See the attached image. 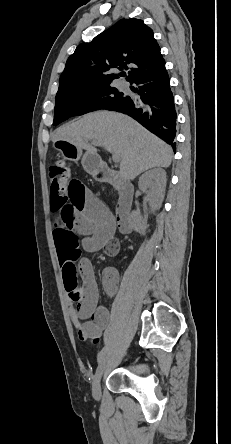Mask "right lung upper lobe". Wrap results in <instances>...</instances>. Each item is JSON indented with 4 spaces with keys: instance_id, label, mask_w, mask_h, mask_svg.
Returning a JSON list of instances; mask_svg holds the SVG:
<instances>
[{
    "instance_id": "cb5924a9",
    "label": "right lung upper lobe",
    "mask_w": 231,
    "mask_h": 444,
    "mask_svg": "<svg viewBox=\"0 0 231 444\" xmlns=\"http://www.w3.org/2000/svg\"><path fill=\"white\" fill-rule=\"evenodd\" d=\"M127 65L130 67L128 68ZM165 61L153 31L142 20L122 19L90 43L80 44L68 58L59 80L58 94L110 84L128 71L130 83L160 70Z\"/></svg>"
}]
</instances>
